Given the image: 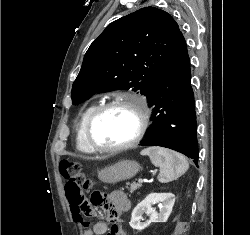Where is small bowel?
<instances>
[{
	"mask_svg": "<svg viewBox=\"0 0 250 235\" xmlns=\"http://www.w3.org/2000/svg\"><path fill=\"white\" fill-rule=\"evenodd\" d=\"M69 207L74 221L83 225L84 235H128L119 220L121 213L130 208V201L122 191H113L108 200L101 204L102 212L111 223L110 227L103 221L89 227L85 218L94 215L95 210L85 201L81 205H74L69 202Z\"/></svg>",
	"mask_w": 250,
	"mask_h": 235,
	"instance_id": "obj_1",
	"label": "small bowel"
}]
</instances>
